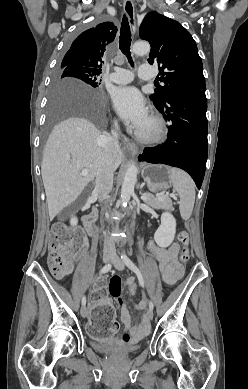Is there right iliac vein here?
<instances>
[{
	"instance_id": "1",
	"label": "right iliac vein",
	"mask_w": 248,
	"mask_h": 389,
	"mask_svg": "<svg viewBox=\"0 0 248 389\" xmlns=\"http://www.w3.org/2000/svg\"><path fill=\"white\" fill-rule=\"evenodd\" d=\"M111 260H112V256L111 255H109V254L103 255V262L104 263H107V262H109ZM88 314H89V312H88L87 308L85 306H82V308H81V315H82V317L86 318V317H88Z\"/></svg>"
}]
</instances>
